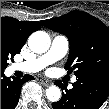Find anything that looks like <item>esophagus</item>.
<instances>
[{"instance_id": "esophagus-1", "label": "esophagus", "mask_w": 109, "mask_h": 109, "mask_svg": "<svg viewBox=\"0 0 109 109\" xmlns=\"http://www.w3.org/2000/svg\"><path fill=\"white\" fill-rule=\"evenodd\" d=\"M41 83L46 87H49L51 85V82L47 80H41Z\"/></svg>"}]
</instances>
